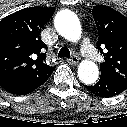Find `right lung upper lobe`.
<instances>
[{
  "label": "right lung upper lobe",
  "instance_id": "cb5924a9",
  "mask_svg": "<svg viewBox=\"0 0 127 127\" xmlns=\"http://www.w3.org/2000/svg\"><path fill=\"white\" fill-rule=\"evenodd\" d=\"M54 10L29 7L0 21V81L18 76L41 78L55 69L46 64V45L39 37Z\"/></svg>",
  "mask_w": 127,
  "mask_h": 127
}]
</instances>
